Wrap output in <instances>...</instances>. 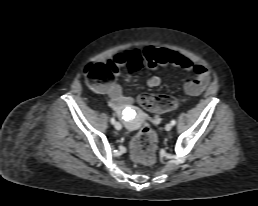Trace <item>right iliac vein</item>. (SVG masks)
Here are the masks:
<instances>
[{
	"mask_svg": "<svg viewBox=\"0 0 258 206\" xmlns=\"http://www.w3.org/2000/svg\"><path fill=\"white\" fill-rule=\"evenodd\" d=\"M114 127H115L116 130H120L122 128V125L119 122H116L114 124Z\"/></svg>",
	"mask_w": 258,
	"mask_h": 206,
	"instance_id": "right-iliac-vein-1",
	"label": "right iliac vein"
}]
</instances>
